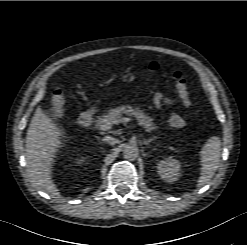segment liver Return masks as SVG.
<instances>
[{"label": "liver", "mask_w": 247, "mask_h": 245, "mask_svg": "<svg viewBox=\"0 0 247 245\" xmlns=\"http://www.w3.org/2000/svg\"><path fill=\"white\" fill-rule=\"evenodd\" d=\"M62 129L37 108L26 135V164L31 182L51 196H59L52 180L56 152L62 147Z\"/></svg>", "instance_id": "1"}]
</instances>
